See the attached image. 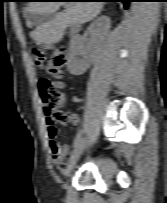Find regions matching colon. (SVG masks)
I'll return each instance as SVG.
<instances>
[{
    "mask_svg": "<svg viewBox=\"0 0 167 203\" xmlns=\"http://www.w3.org/2000/svg\"><path fill=\"white\" fill-rule=\"evenodd\" d=\"M48 49L52 50L49 58L46 57L45 49H42L36 52V60L51 76L61 78L67 64L66 51L57 47H48ZM37 87L49 123L54 126V122H68L70 118L64 112L56 110V106L61 103L63 97L53 82L46 77H42L38 80Z\"/></svg>",
    "mask_w": 167,
    "mask_h": 203,
    "instance_id": "colon-1",
    "label": "colon"
}]
</instances>
